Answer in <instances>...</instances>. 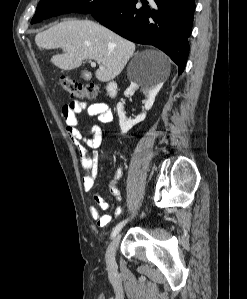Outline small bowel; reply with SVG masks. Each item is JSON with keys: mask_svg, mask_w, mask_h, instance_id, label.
Here are the masks:
<instances>
[{"mask_svg": "<svg viewBox=\"0 0 247 299\" xmlns=\"http://www.w3.org/2000/svg\"><path fill=\"white\" fill-rule=\"evenodd\" d=\"M86 111L89 116L97 117L100 123H109L113 119L112 112L107 104L103 102L86 103L84 101L73 100L62 107V115L66 124V133L73 144H75L81 156V165L84 171L82 185L86 192L93 190L98 177V163L96 149L100 147L103 134L99 125H93L90 128V137H85L78 128V115ZM111 194L120 200V193L116 187V181L110 185ZM96 205L89 209L91 217L97 222L98 226L104 228L111 222V216L104 214L103 211L109 209V203L99 193L94 194ZM122 214V208L116 207L114 210L115 217Z\"/></svg>", "mask_w": 247, "mask_h": 299, "instance_id": "obj_1", "label": "small bowel"}]
</instances>
